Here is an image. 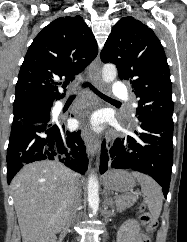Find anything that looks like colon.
Masks as SVG:
<instances>
[{
  "label": "colon",
  "instance_id": "1",
  "mask_svg": "<svg viewBox=\"0 0 187 242\" xmlns=\"http://www.w3.org/2000/svg\"><path fill=\"white\" fill-rule=\"evenodd\" d=\"M140 222L145 227V234L141 236L140 242H151L150 235L156 230L158 222L150 213L145 212L144 206L140 207Z\"/></svg>",
  "mask_w": 187,
  "mask_h": 242
}]
</instances>
